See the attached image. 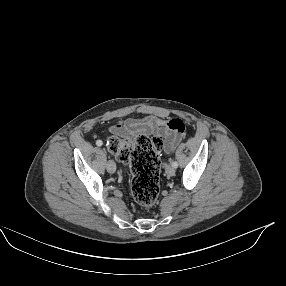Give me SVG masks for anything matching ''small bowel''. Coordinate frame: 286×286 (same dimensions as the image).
<instances>
[{"label": "small bowel", "mask_w": 286, "mask_h": 286, "mask_svg": "<svg viewBox=\"0 0 286 286\" xmlns=\"http://www.w3.org/2000/svg\"><path fill=\"white\" fill-rule=\"evenodd\" d=\"M179 119H166L152 115L143 118H130L118 122L110 128V133L129 142L138 136H153L163 141L165 152L171 153L183 136L178 127Z\"/></svg>", "instance_id": "small-bowel-1"}]
</instances>
